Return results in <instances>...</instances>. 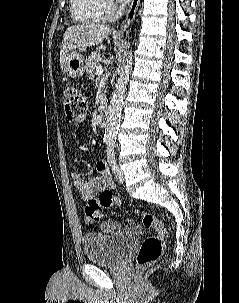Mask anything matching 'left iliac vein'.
I'll return each mask as SVG.
<instances>
[{
    "mask_svg": "<svg viewBox=\"0 0 239 303\" xmlns=\"http://www.w3.org/2000/svg\"><path fill=\"white\" fill-rule=\"evenodd\" d=\"M114 175H115L116 180L119 183H123L124 173H123L122 169L119 166H117L116 170L114 171Z\"/></svg>",
    "mask_w": 239,
    "mask_h": 303,
    "instance_id": "1",
    "label": "left iliac vein"
}]
</instances>
